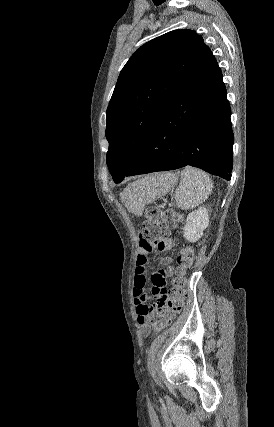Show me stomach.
Returning <instances> with one entry per match:
<instances>
[{
	"label": "stomach",
	"instance_id": "1",
	"mask_svg": "<svg viewBox=\"0 0 274 427\" xmlns=\"http://www.w3.org/2000/svg\"><path fill=\"white\" fill-rule=\"evenodd\" d=\"M147 180H150V182L156 180V186H154V188L157 192L156 196H159L158 192H163V194H165V192H170V190L174 188L177 182V174H172V172H168V174H152V176H147ZM135 188H137V186L129 184L124 192V196L130 200L127 208L130 212H136L138 208L139 214H142L146 204H151L156 196H153L150 200H146L149 192L153 194L152 186L150 190H145V188H138V190H135ZM124 200L125 198H122V202H124Z\"/></svg>",
	"mask_w": 274,
	"mask_h": 427
}]
</instances>
